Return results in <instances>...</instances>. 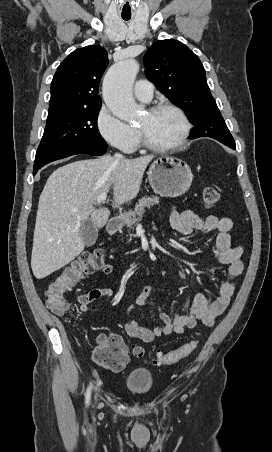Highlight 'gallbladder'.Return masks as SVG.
<instances>
[{
    "label": "gallbladder",
    "instance_id": "obj_1",
    "mask_svg": "<svg viewBox=\"0 0 272 452\" xmlns=\"http://www.w3.org/2000/svg\"><path fill=\"white\" fill-rule=\"evenodd\" d=\"M81 232L84 244L87 247L95 244L98 237V229L95 223H93L91 220L84 221L81 227Z\"/></svg>",
    "mask_w": 272,
    "mask_h": 452
}]
</instances>
